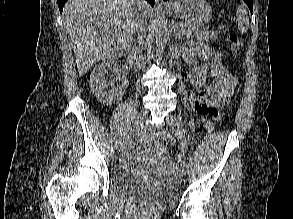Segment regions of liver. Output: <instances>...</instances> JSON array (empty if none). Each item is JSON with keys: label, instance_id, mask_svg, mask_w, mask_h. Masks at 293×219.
<instances>
[{"label": "liver", "instance_id": "obj_1", "mask_svg": "<svg viewBox=\"0 0 293 219\" xmlns=\"http://www.w3.org/2000/svg\"><path fill=\"white\" fill-rule=\"evenodd\" d=\"M138 0H68L63 21L73 45L79 76L97 62L125 57L134 41L133 20L137 12L145 22L149 7L139 9Z\"/></svg>", "mask_w": 293, "mask_h": 219}]
</instances>
